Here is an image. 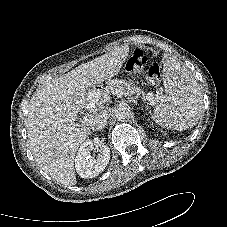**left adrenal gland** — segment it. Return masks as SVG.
<instances>
[{
  "label": "left adrenal gland",
  "mask_w": 227,
  "mask_h": 227,
  "mask_svg": "<svg viewBox=\"0 0 227 227\" xmlns=\"http://www.w3.org/2000/svg\"><path fill=\"white\" fill-rule=\"evenodd\" d=\"M136 99H137V97H131V98H128V101L133 102L135 104V103H137Z\"/></svg>",
  "instance_id": "obj_1"
}]
</instances>
